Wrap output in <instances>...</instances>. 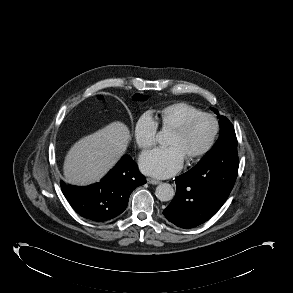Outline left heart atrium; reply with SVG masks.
<instances>
[{"instance_id": "39dd6f15", "label": "left heart atrium", "mask_w": 293, "mask_h": 293, "mask_svg": "<svg viewBox=\"0 0 293 293\" xmlns=\"http://www.w3.org/2000/svg\"><path fill=\"white\" fill-rule=\"evenodd\" d=\"M184 156L176 147L157 148L140 158L141 170L156 178H168L181 170Z\"/></svg>"}]
</instances>
